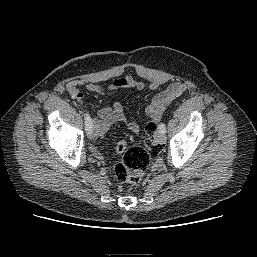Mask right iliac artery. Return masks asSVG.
I'll list each match as a JSON object with an SVG mask.
<instances>
[{"mask_svg":"<svg viewBox=\"0 0 257 257\" xmlns=\"http://www.w3.org/2000/svg\"><path fill=\"white\" fill-rule=\"evenodd\" d=\"M84 120H85L86 131H87V133H89L93 129V124L91 121V117L88 113H84Z\"/></svg>","mask_w":257,"mask_h":257,"instance_id":"right-iliac-artery-1","label":"right iliac artery"}]
</instances>
